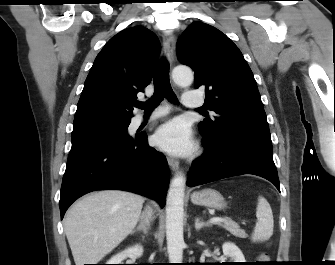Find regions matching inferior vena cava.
Listing matches in <instances>:
<instances>
[{"label":"inferior vena cava","mask_w":335,"mask_h":265,"mask_svg":"<svg viewBox=\"0 0 335 265\" xmlns=\"http://www.w3.org/2000/svg\"><path fill=\"white\" fill-rule=\"evenodd\" d=\"M147 214H148V216H150V215H151V214H150V212H148Z\"/></svg>","instance_id":"inferior-vena-cava-1"}]
</instances>
